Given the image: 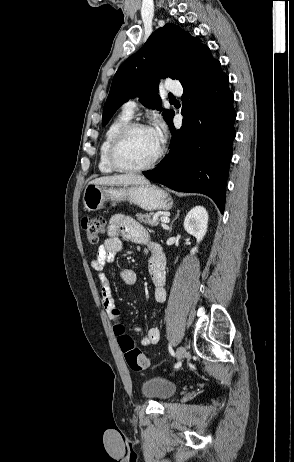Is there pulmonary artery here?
Wrapping results in <instances>:
<instances>
[{
    "instance_id": "obj_1",
    "label": "pulmonary artery",
    "mask_w": 294,
    "mask_h": 462,
    "mask_svg": "<svg viewBox=\"0 0 294 462\" xmlns=\"http://www.w3.org/2000/svg\"><path fill=\"white\" fill-rule=\"evenodd\" d=\"M167 90L173 94H179L181 92V87L179 84H169ZM123 110L133 114L138 110V102L136 100H129L123 105Z\"/></svg>"
}]
</instances>
